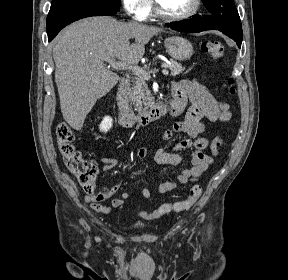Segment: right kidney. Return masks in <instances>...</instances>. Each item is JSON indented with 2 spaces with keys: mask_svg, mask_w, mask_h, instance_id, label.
Listing matches in <instances>:
<instances>
[{
  "mask_svg": "<svg viewBox=\"0 0 288 280\" xmlns=\"http://www.w3.org/2000/svg\"><path fill=\"white\" fill-rule=\"evenodd\" d=\"M112 126V119L110 117L104 118L103 122L100 125V130L107 132Z\"/></svg>",
  "mask_w": 288,
  "mask_h": 280,
  "instance_id": "right-kidney-1",
  "label": "right kidney"
}]
</instances>
